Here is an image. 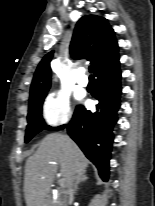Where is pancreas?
<instances>
[{"label":"pancreas","instance_id":"1","mask_svg":"<svg viewBox=\"0 0 155 206\" xmlns=\"http://www.w3.org/2000/svg\"><path fill=\"white\" fill-rule=\"evenodd\" d=\"M57 202H58V206H66L65 202L63 200H61V199H58Z\"/></svg>","mask_w":155,"mask_h":206}]
</instances>
